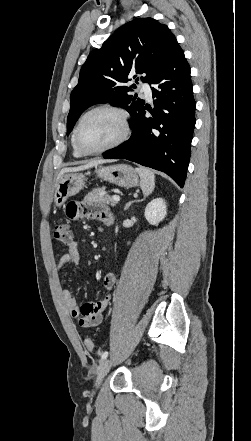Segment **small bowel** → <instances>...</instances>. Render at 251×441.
Segmentation results:
<instances>
[{"label":"small bowel","instance_id":"1","mask_svg":"<svg viewBox=\"0 0 251 441\" xmlns=\"http://www.w3.org/2000/svg\"><path fill=\"white\" fill-rule=\"evenodd\" d=\"M66 213L71 219H97L106 225H111L114 221L113 214L106 207L89 200L70 202L67 205ZM80 260L79 245L76 241H72L67 247V252L60 258L58 269L63 270L69 264L77 266ZM115 282L116 274L113 271L106 272L103 277L104 287L111 291ZM61 296L70 315L77 320L80 326L85 328L94 327L101 323L103 312L110 301V294H107L100 300L87 302L79 306L70 290L64 289Z\"/></svg>","mask_w":251,"mask_h":441}]
</instances>
